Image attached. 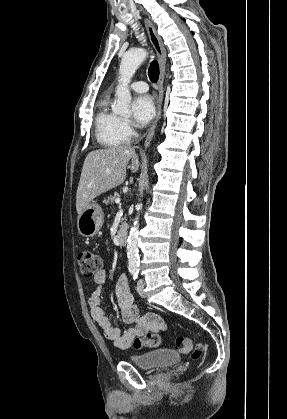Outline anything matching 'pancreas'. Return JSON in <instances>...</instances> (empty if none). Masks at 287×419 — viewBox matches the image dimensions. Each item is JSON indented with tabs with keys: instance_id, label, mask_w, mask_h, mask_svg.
I'll use <instances>...</instances> for the list:
<instances>
[{
	"instance_id": "cf45deb5",
	"label": "pancreas",
	"mask_w": 287,
	"mask_h": 419,
	"mask_svg": "<svg viewBox=\"0 0 287 419\" xmlns=\"http://www.w3.org/2000/svg\"><path fill=\"white\" fill-rule=\"evenodd\" d=\"M119 197L118 193H115L114 195H110L107 199L104 200V203L107 204H113L115 199Z\"/></svg>"
}]
</instances>
